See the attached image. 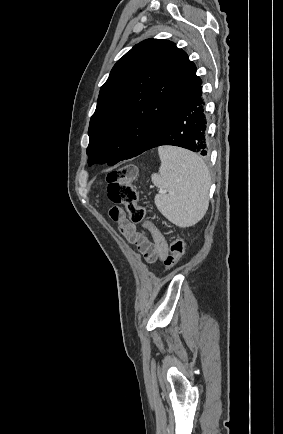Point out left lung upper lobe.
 <instances>
[{
	"instance_id": "5c2ea615",
	"label": "left lung upper lobe",
	"mask_w": 283,
	"mask_h": 434,
	"mask_svg": "<svg viewBox=\"0 0 283 434\" xmlns=\"http://www.w3.org/2000/svg\"><path fill=\"white\" fill-rule=\"evenodd\" d=\"M200 84L195 64L175 43L136 44L100 89L88 130V165H114L144 152L168 114Z\"/></svg>"
}]
</instances>
